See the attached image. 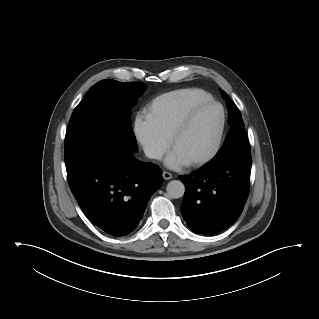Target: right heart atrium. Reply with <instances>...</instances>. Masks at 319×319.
<instances>
[{
    "instance_id": "right-heart-atrium-1",
    "label": "right heart atrium",
    "mask_w": 319,
    "mask_h": 319,
    "mask_svg": "<svg viewBox=\"0 0 319 319\" xmlns=\"http://www.w3.org/2000/svg\"><path fill=\"white\" fill-rule=\"evenodd\" d=\"M134 133L149 158L158 160L166 152L168 139L142 113L135 117Z\"/></svg>"
}]
</instances>
